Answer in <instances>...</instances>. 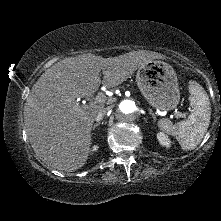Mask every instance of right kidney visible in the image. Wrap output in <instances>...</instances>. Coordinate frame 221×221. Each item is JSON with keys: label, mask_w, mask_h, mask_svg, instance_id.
I'll use <instances>...</instances> for the list:
<instances>
[{"label": "right kidney", "mask_w": 221, "mask_h": 221, "mask_svg": "<svg viewBox=\"0 0 221 221\" xmlns=\"http://www.w3.org/2000/svg\"><path fill=\"white\" fill-rule=\"evenodd\" d=\"M98 148H99V146H98V145H94V146H93L92 151H93V152H94V151H97V150H98Z\"/></svg>", "instance_id": "1"}]
</instances>
